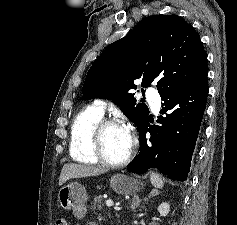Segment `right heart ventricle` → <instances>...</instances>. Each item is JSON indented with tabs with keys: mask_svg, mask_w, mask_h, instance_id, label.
<instances>
[{
	"mask_svg": "<svg viewBox=\"0 0 237 225\" xmlns=\"http://www.w3.org/2000/svg\"><path fill=\"white\" fill-rule=\"evenodd\" d=\"M103 118V112L96 105L83 108L73 119L70 132L69 151L71 157L80 163L96 164L91 145V131Z\"/></svg>",
	"mask_w": 237,
	"mask_h": 225,
	"instance_id": "e07e8e85",
	"label": "right heart ventricle"
}]
</instances>
